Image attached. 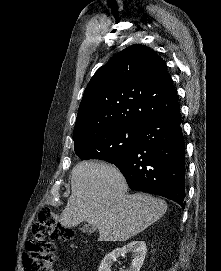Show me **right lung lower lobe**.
Listing matches in <instances>:
<instances>
[{"mask_svg":"<svg viewBox=\"0 0 221 271\" xmlns=\"http://www.w3.org/2000/svg\"><path fill=\"white\" fill-rule=\"evenodd\" d=\"M132 190L171 199L185 207V144L180 108L142 127L137 143L113 162Z\"/></svg>","mask_w":221,"mask_h":271,"instance_id":"1","label":"right lung lower lobe"}]
</instances>
